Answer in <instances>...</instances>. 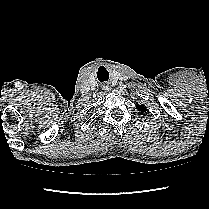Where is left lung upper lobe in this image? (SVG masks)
Masks as SVG:
<instances>
[{"mask_svg":"<svg viewBox=\"0 0 209 209\" xmlns=\"http://www.w3.org/2000/svg\"><path fill=\"white\" fill-rule=\"evenodd\" d=\"M137 108H138L139 111H141L142 115H145L144 113L147 111L145 106L138 105Z\"/></svg>","mask_w":209,"mask_h":209,"instance_id":"5c2ea615","label":"left lung upper lobe"}]
</instances>
